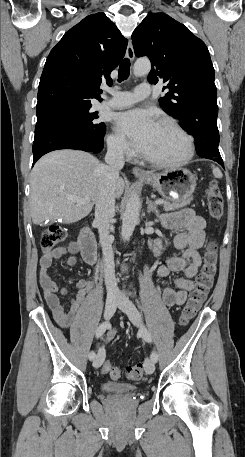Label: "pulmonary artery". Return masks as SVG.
I'll use <instances>...</instances> for the list:
<instances>
[{
    "mask_svg": "<svg viewBox=\"0 0 245 457\" xmlns=\"http://www.w3.org/2000/svg\"><path fill=\"white\" fill-rule=\"evenodd\" d=\"M151 82L149 80H143L141 86H136L135 92H117L111 89H107L113 97L100 104V108L109 109H120L130 106L138 101L147 100L151 93Z\"/></svg>",
    "mask_w": 245,
    "mask_h": 457,
    "instance_id": "1",
    "label": "pulmonary artery"
}]
</instances>
